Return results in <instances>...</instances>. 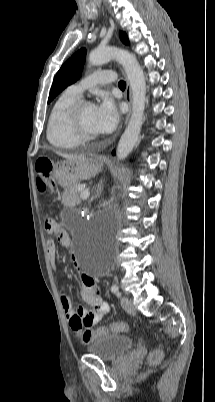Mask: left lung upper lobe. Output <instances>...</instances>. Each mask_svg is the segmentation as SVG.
<instances>
[{"mask_svg":"<svg viewBox=\"0 0 215 402\" xmlns=\"http://www.w3.org/2000/svg\"><path fill=\"white\" fill-rule=\"evenodd\" d=\"M119 36L124 44H129V40L125 32H120ZM85 58L86 49L82 48L62 65L53 80L48 103H50L67 86L73 84L80 78Z\"/></svg>","mask_w":215,"mask_h":402,"instance_id":"left-lung-upper-lobe-1","label":"left lung upper lobe"}]
</instances>
